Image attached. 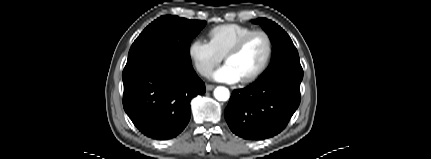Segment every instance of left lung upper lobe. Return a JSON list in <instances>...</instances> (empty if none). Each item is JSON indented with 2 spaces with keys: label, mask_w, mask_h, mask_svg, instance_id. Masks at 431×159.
Listing matches in <instances>:
<instances>
[{
  "label": "left lung upper lobe",
  "mask_w": 431,
  "mask_h": 159,
  "mask_svg": "<svg viewBox=\"0 0 431 159\" xmlns=\"http://www.w3.org/2000/svg\"><path fill=\"white\" fill-rule=\"evenodd\" d=\"M252 22L261 25L273 45L272 60L263 75L282 69L302 71L298 51L291 38L280 26L266 18H258Z\"/></svg>",
  "instance_id": "left-lung-upper-lobe-1"
}]
</instances>
